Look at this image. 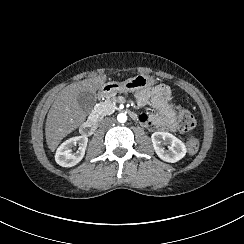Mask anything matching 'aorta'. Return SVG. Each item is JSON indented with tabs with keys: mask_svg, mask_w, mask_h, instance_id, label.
I'll use <instances>...</instances> for the list:
<instances>
[{
	"mask_svg": "<svg viewBox=\"0 0 244 244\" xmlns=\"http://www.w3.org/2000/svg\"><path fill=\"white\" fill-rule=\"evenodd\" d=\"M117 120L119 123H125L127 121V116L124 113H121L117 116Z\"/></svg>",
	"mask_w": 244,
	"mask_h": 244,
	"instance_id": "obj_1",
	"label": "aorta"
}]
</instances>
